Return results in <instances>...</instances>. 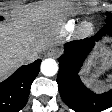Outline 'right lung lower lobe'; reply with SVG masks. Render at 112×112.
<instances>
[{"label": "right lung lower lobe", "mask_w": 112, "mask_h": 112, "mask_svg": "<svg viewBox=\"0 0 112 112\" xmlns=\"http://www.w3.org/2000/svg\"><path fill=\"white\" fill-rule=\"evenodd\" d=\"M41 60L21 66L0 83V112H19L27 103L30 87L39 73Z\"/></svg>", "instance_id": "1"}]
</instances>
